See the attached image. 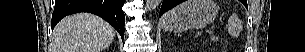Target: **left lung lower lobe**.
Returning a JSON list of instances; mask_svg holds the SVG:
<instances>
[{"label":"left lung lower lobe","instance_id":"0a47b994","mask_svg":"<svg viewBox=\"0 0 305 52\" xmlns=\"http://www.w3.org/2000/svg\"><path fill=\"white\" fill-rule=\"evenodd\" d=\"M181 2H183V0H164L160 9V16Z\"/></svg>","mask_w":305,"mask_h":52}]
</instances>
